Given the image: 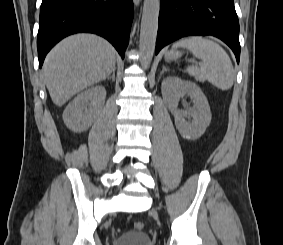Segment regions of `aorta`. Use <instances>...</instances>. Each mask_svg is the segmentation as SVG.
Segmentation results:
<instances>
[{
    "label": "aorta",
    "instance_id": "1",
    "mask_svg": "<svg viewBox=\"0 0 283 245\" xmlns=\"http://www.w3.org/2000/svg\"><path fill=\"white\" fill-rule=\"evenodd\" d=\"M160 11L159 0H144L140 30V63L148 68L155 51Z\"/></svg>",
    "mask_w": 283,
    "mask_h": 245
}]
</instances>
